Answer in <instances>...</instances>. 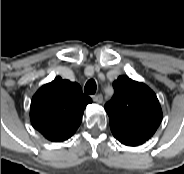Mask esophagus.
Listing matches in <instances>:
<instances>
[{"label": "esophagus", "instance_id": "obj_1", "mask_svg": "<svg viewBox=\"0 0 184 174\" xmlns=\"http://www.w3.org/2000/svg\"><path fill=\"white\" fill-rule=\"evenodd\" d=\"M94 102L101 104L103 102V96L101 94L92 96Z\"/></svg>", "mask_w": 184, "mask_h": 174}]
</instances>
